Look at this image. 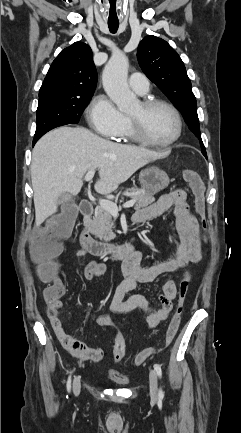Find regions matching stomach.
I'll use <instances>...</instances> for the list:
<instances>
[{
	"instance_id": "stomach-1",
	"label": "stomach",
	"mask_w": 241,
	"mask_h": 433,
	"mask_svg": "<svg viewBox=\"0 0 241 433\" xmlns=\"http://www.w3.org/2000/svg\"><path fill=\"white\" fill-rule=\"evenodd\" d=\"M139 181L142 188L151 195L162 191L170 183L167 173L156 166L142 170L139 174Z\"/></svg>"
}]
</instances>
